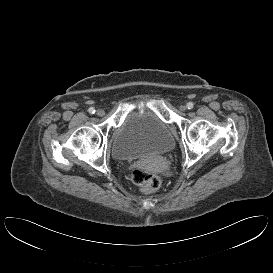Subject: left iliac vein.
Wrapping results in <instances>:
<instances>
[{
  "label": "left iliac vein",
  "instance_id": "obj_1",
  "mask_svg": "<svg viewBox=\"0 0 273 273\" xmlns=\"http://www.w3.org/2000/svg\"><path fill=\"white\" fill-rule=\"evenodd\" d=\"M179 109H180V111H186V109H187V107L185 106V105H181L180 107H179Z\"/></svg>",
  "mask_w": 273,
  "mask_h": 273
}]
</instances>
